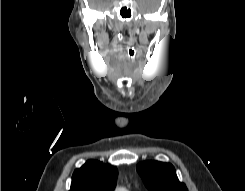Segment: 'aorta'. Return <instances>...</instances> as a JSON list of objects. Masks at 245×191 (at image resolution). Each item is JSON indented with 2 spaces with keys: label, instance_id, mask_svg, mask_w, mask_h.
<instances>
[{
  "label": "aorta",
  "instance_id": "1",
  "mask_svg": "<svg viewBox=\"0 0 245 191\" xmlns=\"http://www.w3.org/2000/svg\"><path fill=\"white\" fill-rule=\"evenodd\" d=\"M116 191H127V190L125 188H123V187H119V188L116 189Z\"/></svg>",
  "mask_w": 245,
  "mask_h": 191
}]
</instances>
